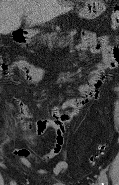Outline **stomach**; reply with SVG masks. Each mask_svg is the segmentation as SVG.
Here are the masks:
<instances>
[{
  "mask_svg": "<svg viewBox=\"0 0 119 185\" xmlns=\"http://www.w3.org/2000/svg\"><path fill=\"white\" fill-rule=\"evenodd\" d=\"M106 10L102 0H86L85 6L79 12V16L84 19H95ZM36 33L28 32L25 37L30 40Z\"/></svg>",
  "mask_w": 119,
  "mask_h": 185,
  "instance_id": "obj_1",
  "label": "stomach"
}]
</instances>
